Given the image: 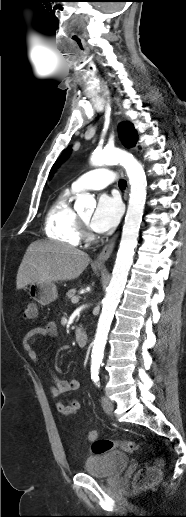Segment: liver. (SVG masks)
Instances as JSON below:
<instances>
[{"label":"liver","instance_id":"1","mask_svg":"<svg viewBox=\"0 0 186 517\" xmlns=\"http://www.w3.org/2000/svg\"><path fill=\"white\" fill-rule=\"evenodd\" d=\"M89 262V255L75 247L52 241L33 242L19 266L16 287L76 279Z\"/></svg>","mask_w":186,"mask_h":517}]
</instances>
